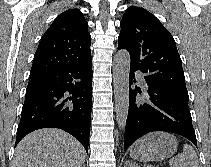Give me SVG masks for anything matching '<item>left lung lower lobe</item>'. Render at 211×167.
I'll use <instances>...</instances> for the list:
<instances>
[{
	"mask_svg": "<svg viewBox=\"0 0 211 167\" xmlns=\"http://www.w3.org/2000/svg\"><path fill=\"white\" fill-rule=\"evenodd\" d=\"M130 66L129 74V110L126 120L124 150L143 135L153 131H166L184 136L197 146L195 131L192 125L188 100L169 90L151 83L144 77L148 86L146 99L143 101L138 94L141 89L131 88L135 80V71Z\"/></svg>",
	"mask_w": 211,
	"mask_h": 167,
	"instance_id": "left-lung-lower-lobe-1",
	"label": "left lung lower lobe"
}]
</instances>
